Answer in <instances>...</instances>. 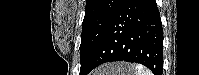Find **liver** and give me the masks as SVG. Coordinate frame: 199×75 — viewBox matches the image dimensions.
<instances>
[{"instance_id": "6515ba94", "label": "liver", "mask_w": 199, "mask_h": 75, "mask_svg": "<svg viewBox=\"0 0 199 75\" xmlns=\"http://www.w3.org/2000/svg\"><path fill=\"white\" fill-rule=\"evenodd\" d=\"M118 68H120V67H118ZM111 69H112V70H114V68H113V67H111ZM102 72H103V71H102ZM102 72H100V73H102Z\"/></svg>"}]
</instances>
